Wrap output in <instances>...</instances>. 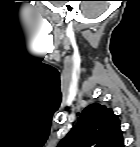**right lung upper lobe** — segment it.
Listing matches in <instances>:
<instances>
[{"label": "right lung upper lobe", "instance_id": "obj_1", "mask_svg": "<svg viewBox=\"0 0 140 147\" xmlns=\"http://www.w3.org/2000/svg\"><path fill=\"white\" fill-rule=\"evenodd\" d=\"M58 147H124L120 120L100 103L87 106Z\"/></svg>", "mask_w": 140, "mask_h": 147}]
</instances>
